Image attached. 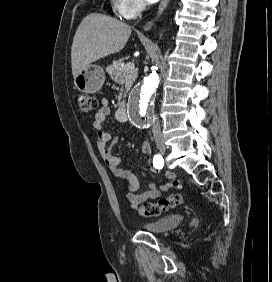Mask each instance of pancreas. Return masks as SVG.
I'll return each mask as SVG.
<instances>
[{
  "mask_svg": "<svg viewBox=\"0 0 272 282\" xmlns=\"http://www.w3.org/2000/svg\"><path fill=\"white\" fill-rule=\"evenodd\" d=\"M106 72L111 76L115 83L120 82L122 84L118 96V104L124 105L127 93L135 82L137 72L135 70L125 71L121 60L113 61L112 64L106 67Z\"/></svg>",
  "mask_w": 272,
  "mask_h": 282,
  "instance_id": "pancreas-1",
  "label": "pancreas"
}]
</instances>
